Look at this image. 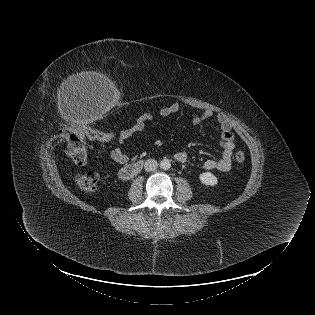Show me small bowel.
I'll return each instance as SVG.
<instances>
[{
	"label": "small bowel",
	"mask_w": 315,
	"mask_h": 315,
	"mask_svg": "<svg viewBox=\"0 0 315 315\" xmlns=\"http://www.w3.org/2000/svg\"><path fill=\"white\" fill-rule=\"evenodd\" d=\"M181 109L180 104L173 103L163 109H161L160 114L162 116H171L178 113ZM216 117L217 122L221 129V137L219 140V145L223 149L222 156L220 159H207L203 167L206 170H217L221 172H227L231 169L233 164V152L235 149L234 134L232 131V122L230 118L225 113H217L210 109H205L198 114L193 115L192 121L195 124H199L209 118ZM153 120V116L150 113H144L140 115L135 122L121 130L118 133L117 141L119 144H124L126 140L130 139L137 133L142 132L147 123ZM111 159L120 165H124L129 161L128 155L121 149L115 148L110 152ZM175 159L178 162H185L187 160V153L184 151H179L175 154Z\"/></svg>",
	"instance_id": "c3829d8e"
}]
</instances>
